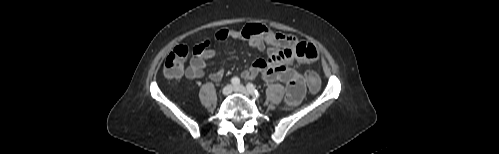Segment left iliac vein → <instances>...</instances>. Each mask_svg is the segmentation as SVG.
<instances>
[{
	"instance_id": "left-iliac-vein-1",
	"label": "left iliac vein",
	"mask_w": 499,
	"mask_h": 154,
	"mask_svg": "<svg viewBox=\"0 0 499 154\" xmlns=\"http://www.w3.org/2000/svg\"><path fill=\"white\" fill-rule=\"evenodd\" d=\"M234 90L236 92L242 93L244 95H247V96L249 95L248 90L244 86H242V85L235 86Z\"/></svg>"
}]
</instances>
